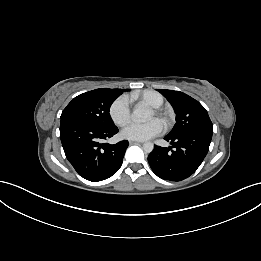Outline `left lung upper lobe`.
Returning <instances> with one entry per match:
<instances>
[{"instance_id":"1","label":"left lung upper lobe","mask_w":261,"mask_h":261,"mask_svg":"<svg viewBox=\"0 0 261 261\" xmlns=\"http://www.w3.org/2000/svg\"><path fill=\"white\" fill-rule=\"evenodd\" d=\"M172 104L176 113V124L169 135L193 131L213 132V125L206 109L189 95L173 90L158 89Z\"/></svg>"}]
</instances>
